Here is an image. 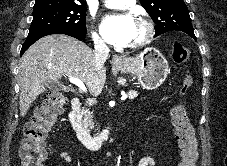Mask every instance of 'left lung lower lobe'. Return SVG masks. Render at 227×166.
<instances>
[{"label":"left lung lower lobe","mask_w":227,"mask_h":166,"mask_svg":"<svg viewBox=\"0 0 227 166\" xmlns=\"http://www.w3.org/2000/svg\"><path fill=\"white\" fill-rule=\"evenodd\" d=\"M190 37H192V38H194V40H196V37H195V35H194V32L192 31V32H188L187 33Z\"/></svg>","instance_id":"0a47b994"}]
</instances>
